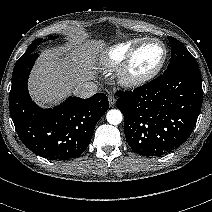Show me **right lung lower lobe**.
Listing matches in <instances>:
<instances>
[{"instance_id": "98d812e1", "label": "right lung lower lobe", "mask_w": 212, "mask_h": 212, "mask_svg": "<svg viewBox=\"0 0 212 212\" xmlns=\"http://www.w3.org/2000/svg\"><path fill=\"white\" fill-rule=\"evenodd\" d=\"M38 57L30 53L14 67L9 95L10 113L25 146L51 160H68L81 155L89 145L95 125L108 110L103 93L81 99L69 97L55 108L42 109L30 98L27 80Z\"/></svg>"}]
</instances>
